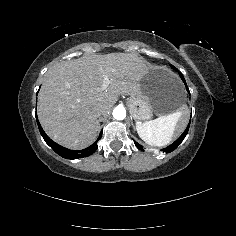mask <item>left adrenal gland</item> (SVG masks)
Instances as JSON below:
<instances>
[{"mask_svg":"<svg viewBox=\"0 0 236 236\" xmlns=\"http://www.w3.org/2000/svg\"><path fill=\"white\" fill-rule=\"evenodd\" d=\"M131 125H132V127H133L134 131H136V128H135V126H134L133 122H131Z\"/></svg>","mask_w":236,"mask_h":236,"instance_id":"obj_1","label":"left adrenal gland"}]
</instances>
